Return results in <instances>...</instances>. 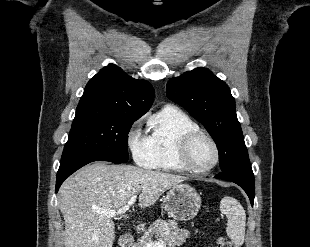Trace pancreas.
Wrapping results in <instances>:
<instances>
[{
    "mask_svg": "<svg viewBox=\"0 0 310 247\" xmlns=\"http://www.w3.org/2000/svg\"><path fill=\"white\" fill-rule=\"evenodd\" d=\"M154 236L164 242L166 247H178L185 243L187 238H190V233L186 229H180L178 224L172 220L158 219L148 227L134 246L146 247L149 242H153Z\"/></svg>",
    "mask_w": 310,
    "mask_h": 247,
    "instance_id": "obj_1",
    "label": "pancreas"
}]
</instances>
